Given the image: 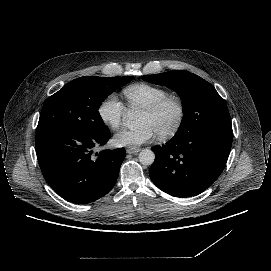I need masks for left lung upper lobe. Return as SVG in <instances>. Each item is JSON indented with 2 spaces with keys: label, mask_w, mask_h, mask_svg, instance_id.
<instances>
[{
  "label": "left lung upper lobe",
  "mask_w": 271,
  "mask_h": 271,
  "mask_svg": "<svg viewBox=\"0 0 271 271\" xmlns=\"http://www.w3.org/2000/svg\"><path fill=\"white\" fill-rule=\"evenodd\" d=\"M157 85L168 86L182 97L183 119L176 134L186 133L205 125H231L223 98L201 77L185 70L142 76Z\"/></svg>",
  "instance_id": "1"
}]
</instances>
